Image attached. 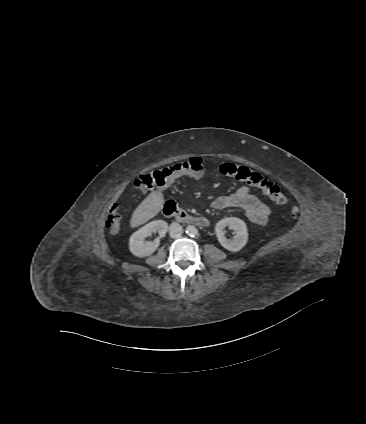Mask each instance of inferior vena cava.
<instances>
[{
    "instance_id": "1",
    "label": "inferior vena cava",
    "mask_w": 366,
    "mask_h": 424,
    "mask_svg": "<svg viewBox=\"0 0 366 424\" xmlns=\"http://www.w3.org/2000/svg\"><path fill=\"white\" fill-rule=\"evenodd\" d=\"M170 236L172 238H179L183 234V228L179 223H172L169 227Z\"/></svg>"
}]
</instances>
